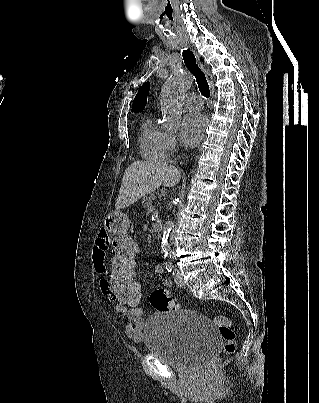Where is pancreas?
Listing matches in <instances>:
<instances>
[{"label":"pancreas","mask_w":319,"mask_h":403,"mask_svg":"<svg viewBox=\"0 0 319 403\" xmlns=\"http://www.w3.org/2000/svg\"><path fill=\"white\" fill-rule=\"evenodd\" d=\"M156 196L154 194H148L143 197V205L145 208H150L153 204L154 199Z\"/></svg>","instance_id":"1"}]
</instances>
